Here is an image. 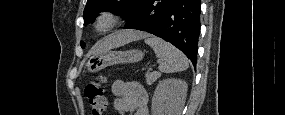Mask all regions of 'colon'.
I'll use <instances>...</instances> for the list:
<instances>
[{
    "label": "colon",
    "instance_id": "5ec220e1",
    "mask_svg": "<svg viewBox=\"0 0 285 115\" xmlns=\"http://www.w3.org/2000/svg\"><path fill=\"white\" fill-rule=\"evenodd\" d=\"M105 81L106 77L100 74L85 87V95L87 97L92 115H102L106 111L107 99L103 86Z\"/></svg>",
    "mask_w": 285,
    "mask_h": 115
}]
</instances>
